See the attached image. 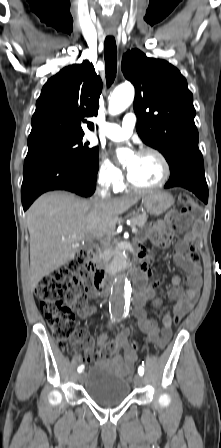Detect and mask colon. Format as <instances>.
Segmentation results:
<instances>
[{
	"mask_svg": "<svg viewBox=\"0 0 221 448\" xmlns=\"http://www.w3.org/2000/svg\"><path fill=\"white\" fill-rule=\"evenodd\" d=\"M179 201L182 223L188 225L191 216L197 209V204L191 196L184 193L179 196ZM187 257L193 264L199 263L200 256L194 245L190 246ZM87 262L88 254L79 252L73 260L68 261L63 267L44 276L35 289L40 308L45 314L54 340L61 348H68L72 344L77 328L73 309L64 298L72 289L78 287L80 279L89 275L86 270ZM179 321L180 318L175 316L174 322L178 323ZM82 339L87 346L91 345L88 336H83ZM88 360H91L90 355H88Z\"/></svg>",
	"mask_w": 221,
	"mask_h": 448,
	"instance_id": "1",
	"label": "colon"
}]
</instances>
